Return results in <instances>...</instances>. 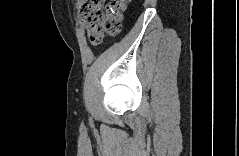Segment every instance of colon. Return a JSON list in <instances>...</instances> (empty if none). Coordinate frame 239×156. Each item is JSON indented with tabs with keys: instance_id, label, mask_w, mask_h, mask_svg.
Here are the masks:
<instances>
[{
	"instance_id": "colon-1",
	"label": "colon",
	"mask_w": 239,
	"mask_h": 156,
	"mask_svg": "<svg viewBox=\"0 0 239 156\" xmlns=\"http://www.w3.org/2000/svg\"><path fill=\"white\" fill-rule=\"evenodd\" d=\"M125 8L123 0H91L80 6L79 15L92 44L99 45L107 35L120 32Z\"/></svg>"
}]
</instances>
